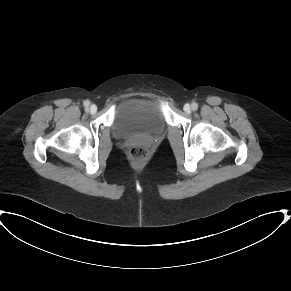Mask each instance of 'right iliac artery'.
<instances>
[{
  "mask_svg": "<svg viewBox=\"0 0 291 291\" xmlns=\"http://www.w3.org/2000/svg\"><path fill=\"white\" fill-rule=\"evenodd\" d=\"M89 105H90V102H89V101H85V102H84V106H85V108H88Z\"/></svg>",
  "mask_w": 291,
  "mask_h": 291,
  "instance_id": "obj_1",
  "label": "right iliac artery"
}]
</instances>
